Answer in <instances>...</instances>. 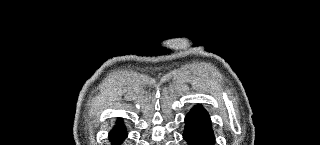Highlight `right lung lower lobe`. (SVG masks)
Listing matches in <instances>:
<instances>
[{
  "mask_svg": "<svg viewBox=\"0 0 320 145\" xmlns=\"http://www.w3.org/2000/svg\"><path fill=\"white\" fill-rule=\"evenodd\" d=\"M126 136L127 133L124 124L121 121H118L116 126L110 132L109 139L111 140V142L118 145L124 140Z\"/></svg>",
  "mask_w": 320,
  "mask_h": 145,
  "instance_id": "1",
  "label": "right lung lower lobe"
}]
</instances>
